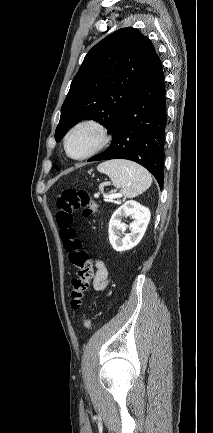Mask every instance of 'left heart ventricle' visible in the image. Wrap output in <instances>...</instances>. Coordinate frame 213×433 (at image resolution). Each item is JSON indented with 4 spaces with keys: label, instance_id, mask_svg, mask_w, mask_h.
Returning a JSON list of instances; mask_svg holds the SVG:
<instances>
[{
    "label": "left heart ventricle",
    "instance_id": "1",
    "mask_svg": "<svg viewBox=\"0 0 213 433\" xmlns=\"http://www.w3.org/2000/svg\"><path fill=\"white\" fill-rule=\"evenodd\" d=\"M99 142L98 132L90 127H85L74 132L68 143L69 152L73 156H82L91 151Z\"/></svg>",
    "mask_w": 213,
    "mask_h": 433
}]
</instances>
